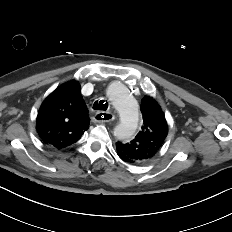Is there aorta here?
<instances>
[{
  "label": "aorta",
  "mask_w": 232,
  "mask_h": 232,
  "mask_svg": "<svg viewBox=\"0 0 232 232\" xmlns=\"http://www.w3.org/2000/svg\"><path fill=\"white\" fill-rule=\"evenodd\" d=\"M107 95L120 116L114 135L121 140L132 138L139 126V110L136 100L128 94L127 89L121 83L110 85Z\"/></svg>",
  "instance_id": "1"
}]
</instances>
